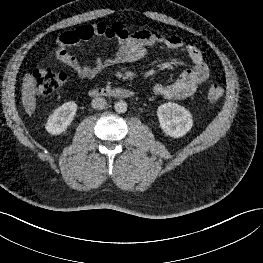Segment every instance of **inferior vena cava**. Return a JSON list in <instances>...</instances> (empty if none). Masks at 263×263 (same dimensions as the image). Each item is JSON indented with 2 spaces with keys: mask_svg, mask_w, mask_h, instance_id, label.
<instances>
[{
  "mask_svg": "<svg viewBox=\"0 0 263 263\" xmlns=\"http://www.w3.org/2000/svg\"><path fill=\"white\" fill-rule=\"evenodd\" d=\"M92 107L97 110H102L106 107L107 102L104 98L102 97H96L92 100L91 103Z\"/></svg>",
  "mask_w": 263,
  "mask_h": 263,
  "instance_id": "inferior-vena-cava-1",
  "label": "inferior vena cava"
}]
</instances>
